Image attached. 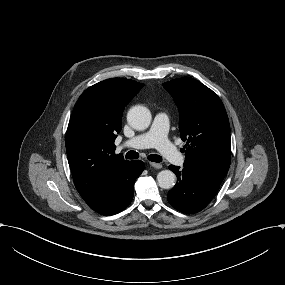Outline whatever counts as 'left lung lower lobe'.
I'll list each match as a JSON object with an SVG mask.
<instances>
[{"label": "left lung lower lobe", "instance_id": "left-lung-lower-lobe-1", "mask_svg": "<svg viewBox=\"0 0 285 285\" xmlns=\"http://www.w3.org/2000/svg\"><path fill=\"white\" fill-rule=\"evenodd\" d=\"M177 176L176 185L168 192L169 203L178 211L193 214L204 209L217 193L219 186L192 174L185 168L170 165Z\"/></svg>", "mask_w": 285, "mask_h": 285}]
</instances>
